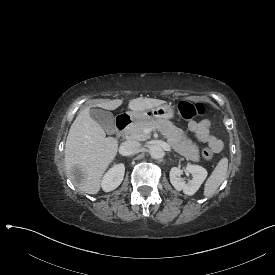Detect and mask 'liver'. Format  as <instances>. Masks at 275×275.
<instances>
[{"label": "liver", "mask_w": 275, "mask_h": 275, "mask_svg": "<svg viewBox=\"0 0 275 275\" xmlns=\"http://www.w3.org/2000/svg\"><path fill=\"white\" fill-rule=\"evenodd\" d=\"M167 101L154 98H134L129 101L128 110L142 112ZM123 104L122 99H113L85 107L72 123L64 150V162L67 173L75 165L84 168L86 181L76 186L80 191L96 195L102 187V179L118 154L119 141L115 137H106L101 125L91 117L90 108L99 107L114 111Z\"/></svg>", "instance_id": "obj_1"}]
</instances>
